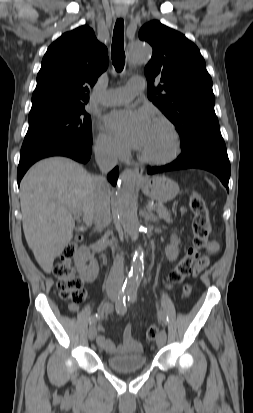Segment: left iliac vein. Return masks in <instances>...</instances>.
Instances as JSON below:
<instances>
[{
	"mask_svg": "<svg viewBox=\"0 0 253 413\" xmlns=\"http://www.w3.org/2000/svg\"><path fill=\"white\" fill-rule=\"evenodd\" d=\"M166 339H167L166 331L164 329H162L159 332V334L157 336V339H156L157 346L162 347L165 344Z\"/></svg>",
	"mask_w": 253,
	"mask_h": 413,
	"instance_id": "left-iliac-vein-1",
	"label": "left iliac vein"
}]
</instances>
